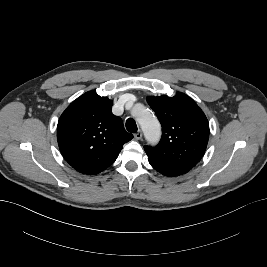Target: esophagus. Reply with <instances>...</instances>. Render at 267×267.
<instances>
[{
	"label": "esophagus",
	"mask_w": 267,
	"mask_h": 267,
	"mask_svg": "<svg viewBox=\"0 0 267 267\" xmlns=\"http://www.w3.org/2000/svg\"><path fill=\"white\" fill-rule=\"evenodd\" d=\"M136 140H140L142 138V132L139 130L137 133L134 135Z\"/></svg>",
	"instance_id": "obj_1"
}]
</instances>
